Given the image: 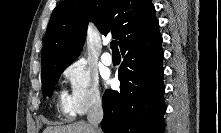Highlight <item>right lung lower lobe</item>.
I'll return each instance as SVG.
<instances>
[{"label":"right lung lower lobe","instance_id":"right-lung-lower-lobe-1","mask_svg":"<svg viewBox=\"0 0 221 133\" xmlns=\"http://www.w3.org/2000/svg\"><path fill=\"white\" fill-rule=\"evenodd\" d=\"M160 33L135 39L121 48L120 91L106 90L102 99L105 133H163L164 53Z\"/></svg>","mask_w":221,"mask_h":133}]
</instances>
